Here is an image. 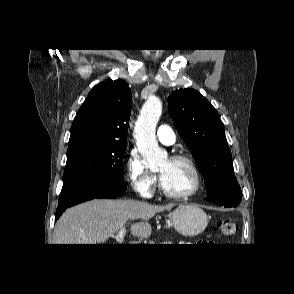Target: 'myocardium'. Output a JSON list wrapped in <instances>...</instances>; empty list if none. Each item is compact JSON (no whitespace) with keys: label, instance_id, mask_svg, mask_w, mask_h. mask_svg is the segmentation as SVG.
<instances>
[{"label":"myocardium","instance_id":"f54148a6","mask_svg":"<svg viewBox=\"0 0 294 294\" xmlns=\"http://www.w3.org/2000/svg\"><path fill=\"white\" fill-rule=\"evenodd\" d=\"M170 161H174V162H184L186 163L192 170L193 174H194V186L193 188L187 192V193H183V194H176V193H172L170 191H168L162 181L161 178H159V191L161 194H163L165 197L173 199V200H186L191 198L192 196H194L201 188L202 186V175L200 172V169L196 163V161L184 154H177V155H173L169 158Z\"/></svg>","mask_w":294,"mask_h":294}]
</instances>
